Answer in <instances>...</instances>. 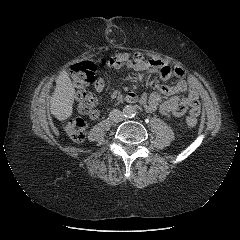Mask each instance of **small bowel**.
<instances>
[{"mask_svg": "<svg viewBox=\"0 0 240 240\" xmlns=\"http://www.w3.org/2000/svg\"><path fill=\"white\" fill-rule=\"evenodd\" d=\"M107 66L113 69L130 68L139 73L148 74L156 73L159 77L166 81L171 76H176L179 81L174 85H161L158 92L151 94L142 93L139 96V102L149 112L159 111L162 114H171L178 119H182L186 114L197 118L200 114L199 94L195 82L192 78L185 79V70L178 65H171L161 59H145L141 53L121 52L110 58ZM105 82L102 78L96 80L94 89L97 93H101L104 89ZM187 92V96L179 94ZM118 91H112L110 98L115 100L119 98ZM169 97L164 100L163 97ZM101 115L100 109H95L90 114L92 119H96Z\"/></svg>", "mask_w": 240, "mask_h": 240, "instance_id": "obj_1", "label": "small bowel"}]
</instances>
